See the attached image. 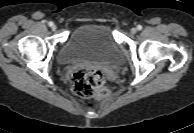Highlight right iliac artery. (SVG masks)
Segmentation results:
<instances>
[{"label": "right iliac artery", "instance_id": "82829eb1", "mask_svg": "<svg viewBox=\"0 0 194 133\" xmlns=\"http://www.w3.org/2000/svg\"><path fill=\"white\" fill-rule=\"evenodd\" d=\"M48 24H49V26L51 27V26L53 25V22H49Z\"/></svg>", "mask_w": 194, "mask_h": 133}]
</instances>
